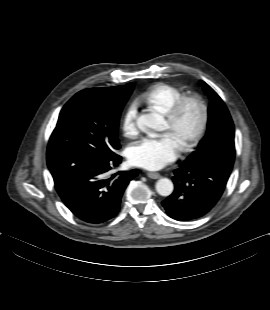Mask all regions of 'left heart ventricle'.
I'll return each instance as SVG.
<instances>
[{"instance_id":"b2bd125f","label":"left heart ventricle","mask_w":270,"mask_h":310,"mask_svg":"<svg viewBox=\"0 0 270 310\" xmlns=\"http://www.w3.org/2000/svg\"><path fill=\"white\" fill-rule=\"evenodd\" d=\"M198 123L199 111L195 106L190 105L189 107H187L180 121L175 127H170V125L166 121L163 131L169 133L177 141L178 144H181L182 141H184L194 133L198 126Z\"/></svg>"}]
</instances>
